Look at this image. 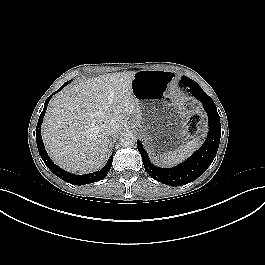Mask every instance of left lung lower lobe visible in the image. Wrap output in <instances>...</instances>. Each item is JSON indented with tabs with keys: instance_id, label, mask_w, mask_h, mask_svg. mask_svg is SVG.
Masks as SVG:
<instances>
[{
	"instance_id": "1",
	"label": "left lung lower lobe",
	"mask_w": 265,
	"mask_h": 265,
	"mask_svg": "<svg viewBox=\"0 0 265 265\" xmlns=\"http://www.w3.org/2000/svg\"><path fill=\"white\" fill-rule=\"evenodd\" d=\"M181 85L187 87L188 91L201 101L209 117V132L202 147L183 163L173 168H160L149 161L142 144L137 141L146 172L155 180L169 186L185 185L201 176L214 160L221 136L220 118L213 100L195 81L186 76L182 77Z\"/></svg>"
}]
</instances>
